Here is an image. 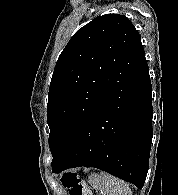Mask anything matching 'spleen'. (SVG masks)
Listing matches in <instances>:
<instances>
[{
    "label": "spleen",
    "mask_w": 178,
    "mask_h": 195,
    "mask_svg": "<svg viewBox=\"0 0 178 195\" xmlns=\"http://www.w3.org/2000/svg\"><path fill=\"white\" fill-rule=\"evenodd\" d=\"M89 183L102 195H132V191L126 182L105 172L91 175Z\"/></svg>",
    "instance_id": "obj_1"
}]
</instances>
